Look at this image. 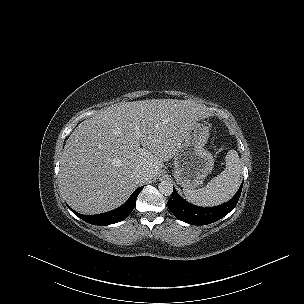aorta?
<instances>
[{
  "mask_svg": "<svg viewBox=\"0 0 304 304\" xmlns=\"http://www.w3.org/2000/svg\"><path fill=\"white\" fill-rule=\"evenodd\" d=\"M158 189L161 194L170 196L173 193V184L170 181L163 180L159 183Z\"/></svg>",
  "mask_w": 304,
  "mask_h": 304,
  "instance_id": "1",
  "label": "aorta"
}]
</instances>
